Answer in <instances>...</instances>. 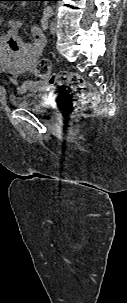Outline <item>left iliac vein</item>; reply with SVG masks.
Masks as SVG:
<instances>
[{"mask_svg":"<svg viewBox=\"0 0 127 303\" xmlns=\"http://www.w3.org/2000/svg\"><path fill=\"white\" fill-rule=\"evenodd\" d=\"M56 29H57V23H56V20H53L51 23H50V32L52 34H54L56 32Z\"/></svg>","mask_w":127,"mask_h":303,"instance_id":"left-iliac-vein-1","label":"left iliac vein"}]
</instances>
